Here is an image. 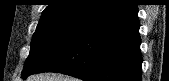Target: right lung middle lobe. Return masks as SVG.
<instances>
[{
    "label": "right lung middle lobe",
    "mask_w": 169,
    "mask_h": 81,
    "mask_svg": "<svg viewBox=\"0 0 169 81\" xmlns=\"http://www.w3.org/2000/svg\"><path fill=\"white\" fill-rule=\"evenodd\" d=\"M86 21L77 16L40 19L33 34L31 49L22 76L29 75L58 50Z\"/></svg>",
    "instance_id": "1"
}]
</instances>
